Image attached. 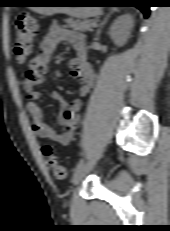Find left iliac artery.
<instances>
[{
	"label": "left iliac artery",
	"mask_w": 170,
	"mask_h": 231,
	"mask_svg": "<svg viewBox=\"0 0 170 231\" xmlns=\"http://www.w3.org/2000/svg\"><path fill=\"white\" fill-rule=\"evenodd\" d=\"M83 164H85V160L82 158L78 164L75 166L74 170L76 171L77 168L81 167Z\"/></svg>",
	"instance_id": "left-iliac-artery-1"
}]
</instances>
